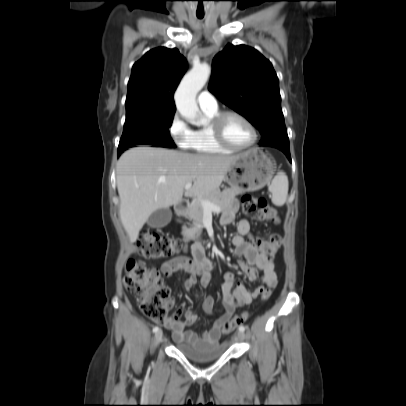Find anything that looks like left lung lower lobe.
<instances>
[{"mask_svg": "<svg viewBox=\"0 0 406 406\" xmlns=\"http://www.w3.org/2000/svg\"><path fill=\"white\" fill-rule=\"evenodd\" d=\"M279 149L282 150V151L286 154V156L288 157V159L291 161V156H290L289 147H280Z\"/></svg>", "mask_w": 406, "mask_h": 406, "instance_id": "1", "label": "left lung lower lobe"}]
</instances>
